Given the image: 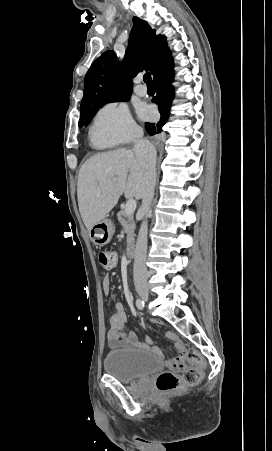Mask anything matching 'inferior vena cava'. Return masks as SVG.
<instances>
[{"label": "inferior vena cava", "mask_w": 272, "mask_h": 451, "mask_svg": "<svg viewBox=\"0 0 272 451\" xmlns=\"http://www.w3.org/2000/svg\"><path fill=\"white\" fill-rule=\"evenodd\" d=\"M141 138H143V134L137 136L134 152L138 162H140L142 168L145 170V190L142 198L141 210H143L146 216V214H149L150 212L151 202L154 198L156 184V150L151 146L150 142H142ZM147 229V222H142L136 241L134 255L133 281L135 287L147 285Z\"/></svg>", "instance_id": "1"}]
</instances>
